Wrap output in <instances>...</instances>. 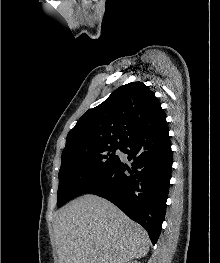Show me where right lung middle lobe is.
Masks as SVG:
<instances>
[{
    "mask_svg": "<svg viewBox=\"0 0 220 263\" xmlns=\"http://www.w3.org/2000/svg\"><path fill=\"white\" fill-rule=\"evenodd\" d=\"M118 147H106L87 151H71L62 155L59 171L57 206L73 199L90 184L103 177L120 158Z\"/></svg>",
    "mask_w": 220,
    "mask_h": 263,
    "instance_id": "1",
    "label": "right lung middle lobe"
}]
</instances>
